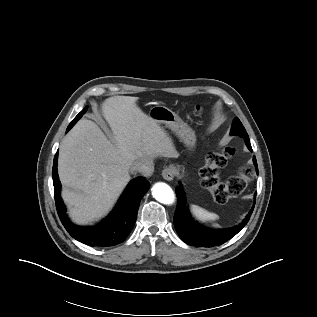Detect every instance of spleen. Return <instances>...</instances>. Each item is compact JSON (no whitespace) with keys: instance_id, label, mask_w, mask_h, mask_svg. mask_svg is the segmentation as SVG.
Returning <instances> with one entry per match:
<instances>
[{"instance_id":"3e777b00","label":"spleen","mask_w":317,"mask_h":317,"mask_svg":"<svg viewBox=\"0 0 317 317\" xmlns=\"http://www.w3.org/2000/svg\"><path fill=\"white\" fill-rule=\"evenodd\" d=\"M190 210L193 216L201 222H210L219 219L217 214L209 212L197 205H191Z\"/></svg>"}]
</instances>
